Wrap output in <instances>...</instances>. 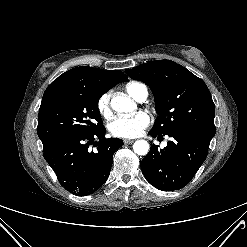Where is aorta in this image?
I'll return each instance as SVG.
<instances>
[{"label":"aorta","instance_id":"1","mask_svg":"<svg viewBox=\"0 0 247 247\" xmlns=\"http://www.w3.org/2000/svg\"><path fill=\"white\" fill-rule=\"evenodd\" d=\"M111 107L119 113H129L136 109V105L132 99L124 95L114 96L111 99ZM133 150L137 155H146L149 151V143L146 140H137L133 144Z\"/></svg>","mask_w":247,"mask_h":247}]
</instances>
